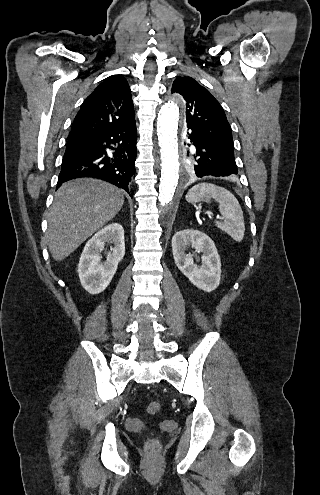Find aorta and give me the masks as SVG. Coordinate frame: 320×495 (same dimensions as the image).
<instances>
[{
  "mask_svg": "<svg viewBox=\"0 0 320 495\" xmlns=\"http://www.w3.org/2000/svg\"><path fill=\"white\" fill-rule=\"evenodd\" d=\"M184 100L173 95L161 107L157 118V134L161 158V179L158 199L151 207L154 227L162 226L163 217L173 213V196L179 179L177 129L179 110Z\"/></svg>",
  "mask_w": 320,
  "mask_h": 495,
  "instance_id": "aorta-1",
  "label": "aorta"
}]
</instances>
